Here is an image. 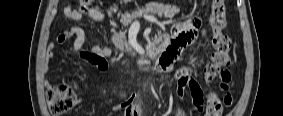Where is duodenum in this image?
Segmentation results:
<instances>
[{"mask_svg":"<svg viewBox=\"0 0 283 116\" xmlns=\"http://www.w3.org/2000/svg\"><path fill=\"white\" fill-rule=\"evenodd\" d=\"M163 45H164V40H162V39L155 40L153 42V44L149 47V51L147 53V57L154 58L157 55H159L161 53V51H162ZM174 58L175 57H173L172 59H168V62H172ZM159 70H161V69L159 68Z\"/></svg>","mask_w":283,"mask_h":116,"instance_id":"duodenum-1","label":"duodenum"}]
</instances>
